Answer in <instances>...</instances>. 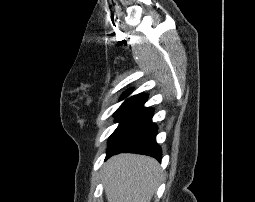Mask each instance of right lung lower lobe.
<instances>
[{"instance_id": "98d812e1", "label": "right lung lower lobe", "mask_w": 255, "mask_h": 202, "mask_svg": "<svg viewBox=\"0 0 255 202\" xmlns=\"http://www.w3.org/2000/svg\"><path fill=\"white\" fill-rule=\"evenodd\" d=\"M153 109L136 114L115 136L108 146L107 156L130 152L161 160V148L156 143L157 126L152 122Z\"/></svg>"}]
</instances>
